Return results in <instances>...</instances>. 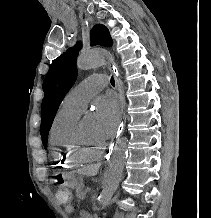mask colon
<instances>
[{
  "label": "colon",
  "instance_id": "obj_1",
  "mask_svg": "<svg viewBox=\"0 0 211 218\" xmlns=\"http://www.w3.org/2000/svg\"><path fill=\"white\" fill-rule=\"evenodd\" d=\"M56 199L61 205H70L73 202V194L66 185H59L55 192Z\"/></svg>",
  "mask_w": 211,
  "mask_h": 218
}]
</instances>
